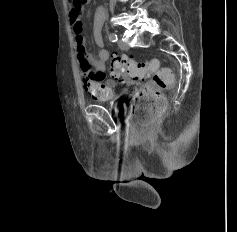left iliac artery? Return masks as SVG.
Wrapping results in <instances>:
<instances>
[{
	"label": "left iliac artery",
	"mask_w": 237,
	"mask_h": 232,
	"mask_svg": "<svg viewBox=\"0 0 237 232\" xmlns=\"http://www.w3.org/2000/svg\"><path fill=\"white\" fill-rule=\"evenodd\" d=\"M108 38L111 42H116L118 40L117 35L115 33H110Z\"/></svg>",
	"instance_id": "obj_1"
}]
</instances>
